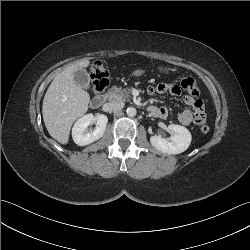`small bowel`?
Returning <instances> with one entry per match:
<instances>
[{
    "mask_svg": "<svg viewBox=\"0 0 250 250\" xmlns=\"http://www.w3.org/2000/svg\"><path fill=\"white\" fill-rule=\"evenodd\" d=\"M169 92L171 94H180V87L176 84L161 83L157 86L148 87V93L153 95L155 93ZM184 103L191 107V109L184 110L178 116L179 122L185 126L196 124L201 125L206 120V112L204 103L201 99H196L190 95L183 96ZM150 112L152 115L159 118H166L168 116V109L165 107L151 106Z\"/></svg>",
    "mask_w": 250,
    "mask_h": 250,
    "instance_id": "obj_1",
    "label": "small bowel"
}]
</instances>
